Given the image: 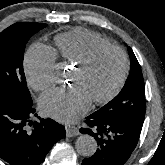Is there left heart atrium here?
Instances as JSON below:
<instances>
[{"label":"left heart atrium","instance_id":"1","mask_svg":"<svg viewBox=\"0 0 165 165\" xmlns=\"http://www.w3.org/2000/svg\"><path fill=\"white\" fill-rule=\"evenodd\" d=\"M91 100L78 87L54 88L40 98V108L53 119L69 123L75 121L90 107Z\"/></svg>","mask_w":165,"mask_h":165}]
</instances>
